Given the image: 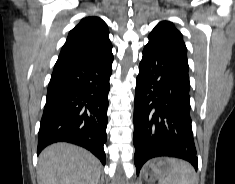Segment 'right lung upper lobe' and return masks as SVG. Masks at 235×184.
Segmentation results:
<instances>
[{
  "label": "right lung upper lobe",
  "mask_w": 235,
  "mask_h": 184,
  "mask_svg": "<svg viewBox=\"0 0 235 184\" xmlns=\"http://www.w3.org/2000/svg\"><path fill=\"white\" fill-rule=\"evenodd\" d=\"M106 23L99 17H87L73 28L57 61H99L113 58Z\"/></svg>",
  "instance_id": "cb5924a9"
}]
</instances>
